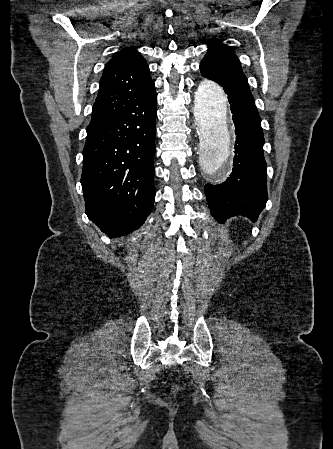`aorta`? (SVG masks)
<instances>
[{"mask_svg": "<svg viewBox=\"0 0 333 449\" xmlns=\"http://www.w3.org/2000/svg\"><path fill=\"white\" fill-rule=\"evenodd\" d=\"M194 114L202 137L198 165L217 182L232 159L234 134L229 118V101L223 89L212 81H202L194 99Z\"/></svg>", "mask_w": 333, "mask_h": 449, "instance_id": "obj_1", "label": "aorta"}]
</instances>
